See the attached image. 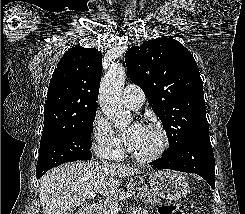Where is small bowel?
I'll list each match as a JSON object with an SVG mask.
<instances>
[{
    "mask_svg": "<svg viewBox=\"0 0 245 214\" xmlns=\"http://www.w3.org/2000/svg\"><path fill=\"white\" fill-rule=\"evenodd\" d=\"M133 214H147L146 211L142 208H138L134 211Z\"/></svg>",
    "mask_w": 245,
    "mask_h": 214,
    "instance_id": "c3829d8e",
    "label": "small bowel"
}]
</instances>
